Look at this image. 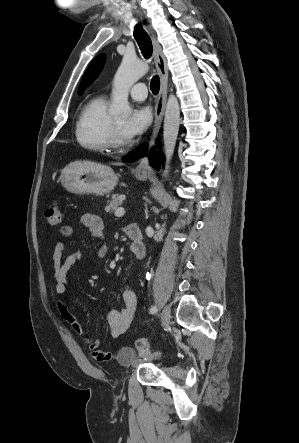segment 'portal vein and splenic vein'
<instances>
[{
	"label": "portal vein and splenic vein",
	"mask_w": 299,
	"mask_h": 443,
	"mask_svg": "<svg viewBox=\"0 0 299 443\" xmlns=\"http://www.w3.org/2000/svg\"><path fill=\"white\" fill-rule=\"evenodd\" d=\"M124 213H125V209H124V208H118V209L115 211V216H116V217H121V216L124 215Z\"/></svg>",
	"instance_id": "18ae733b"
}]
</instances>
